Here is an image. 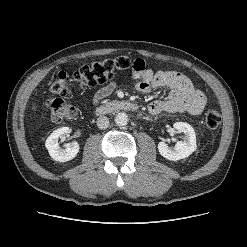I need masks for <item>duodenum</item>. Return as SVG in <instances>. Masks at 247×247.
<instances>
[{
	"instance_id": "410a0bca",
	"label": "duodenum",
	"mask_w": 247,
	"mask_h": 247,
	"mask_svg": "<svg viewBox=\"0 0 247 247\" xmlns=\"http://www.w3.org/2000/svg\"><path fill=\"white\" fill-rule=\"evenodd\" d=\"M139 109L138 104L131 101L126 100H116L106 102L104 104L99 105L95 112L97 115H105L115 111H137Z\"/></svg>"
}]
</instances>
